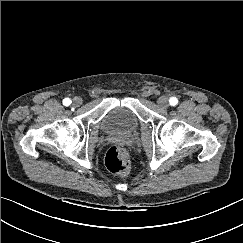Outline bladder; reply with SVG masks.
<instances>
[{
	"instance_id": "bladder-1",
	"label": "bladder",
	"mask_w": 243,
	"mask_h": 243,
	"mask_svg": "<svg viewBox=\"0 0 243 243\" xmlns=\"http://www.w3.org/2000/svg\"><path fill=\"white\" fill-rule=\"evenodd\" d=\"M138 126L137 116L123 106L111 108L101 121L103 131L114 135H131L138 129Z\"/></svg>"
}]
</instances>
